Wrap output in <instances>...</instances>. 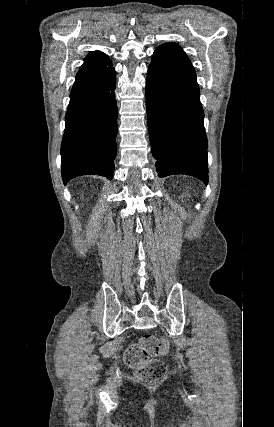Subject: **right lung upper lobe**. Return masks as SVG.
Masks as SVG:
<instances>
[{
    "instance_id": "obj_1",
    "label": "right lung upper lobe",
    "mask_w": 274,
    "mask_h": 427,
    "mask_svg": "<svg viewBox=\"0 0 274 427\" xmlns=\"http://www.w3.org/2000/svg\"><path fill=\"white\" fill-rule=\"evenodd\" d=\"M110 63L111 61L104 53L100 51H93L85 58V61L79 71L99 68Z\"/></svg>"
}]
</instances>
